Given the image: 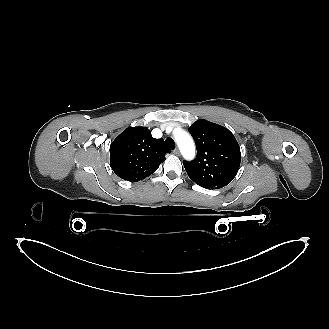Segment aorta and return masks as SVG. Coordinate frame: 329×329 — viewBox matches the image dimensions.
<instances>
[{"label": "aorta", "instance_id": "762f6f07", "mask_svg": "<svg viewBox=\"0 0 329 329\" xmlns=\"http://www.w3.org/2000/svg\"><path fill=\"white\" fill-rule=\"evenodd\" d=\"M174 139L183 157L187 160L193 159L195 156V145L189 133L182 129H176Z\"/></svg>", "mask_w": 329, "mask_h": 329}]
</instances>
